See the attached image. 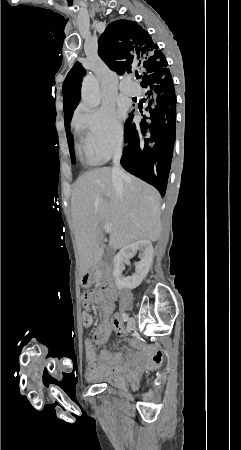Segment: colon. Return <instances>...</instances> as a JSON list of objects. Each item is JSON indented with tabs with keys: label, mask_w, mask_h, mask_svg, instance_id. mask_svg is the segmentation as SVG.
I'll return each instance as SVG.
<instances>
[{
	"label": "colon",
	"mask_w": 241,
	"mask_h": 450,
	"mask_svg": "<svg viewBox=\"0 0 241 450\" xmlns=\"http://www.w3.org/2000/svg\"><path fill=\"white\" fill-rule=\"evenodd\" d=\"M79 323L84 325V328H93V315L87 313L79 314Z\"/></svg>",
	"instance_id": "colon-1"
}]
</instances>
